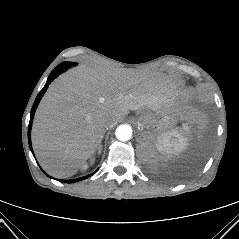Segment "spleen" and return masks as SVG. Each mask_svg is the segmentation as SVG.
Masks as SVG:
<instances>
[{
  "mask_svg": "<svg viewBox=\"0 0 239 239\" xmlns=\"http://www.w3.org/2000/svg\"><path fill=\"white\" fill-rule=\"evenodd\" d=\"M188 131V123H185L182 128L164 132L155 138V147L162 154H178L187 146Z\"/></svg>",
  "mask_w": 239,
  "mask_h": 239,
  "instance_id": "obj_1",
  "label": "spleen"
}]
</instances>
